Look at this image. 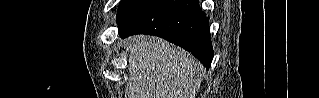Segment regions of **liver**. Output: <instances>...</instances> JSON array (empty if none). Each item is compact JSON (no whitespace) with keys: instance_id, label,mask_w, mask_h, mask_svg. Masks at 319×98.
Listing matches in <instances>:
<instances>
[{"instance_id":"1","label":"liver","mask_w":319,"mask_h":98,"mask_svg":"<svg viewBox=\"0 0 319 98\" xmlns=\"http://www.w3.org/2000/svg\"><path fill=\"white\" fill-rule=\"evenodd\" d=\"M126 98H195L202 65L166 40L135 36L129 40Z\"/></svg>"}]
</instances>
